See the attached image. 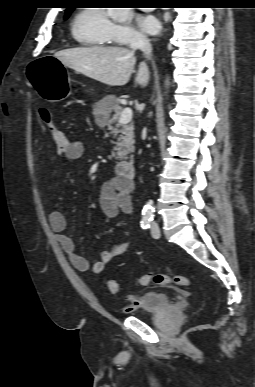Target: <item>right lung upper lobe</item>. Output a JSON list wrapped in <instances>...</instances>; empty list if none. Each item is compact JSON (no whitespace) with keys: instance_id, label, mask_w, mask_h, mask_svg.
I'll list each match as a JSON object with an SVG mask.
<instances>
[{"instance_id":"cb5924a9","label":"right lung upper lobe","mask_w":255,"mask_h":387,"mask_svg":"<svg viewBox=\"0 0 255 387\" xmlns=\"http://www.w3.org/2000/svg\"><path fill=\"white\" fill-rule=\"evenodd\" d=\"M68 9H72V8H71V7H69V8H67V10H68ZM67 10H66V11H67Z\"/></svg>"}]
</instances>
